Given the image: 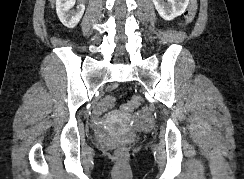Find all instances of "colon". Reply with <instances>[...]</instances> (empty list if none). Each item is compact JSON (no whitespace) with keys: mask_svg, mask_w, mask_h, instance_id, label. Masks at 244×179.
Here are the masks:
<instances>
[{"mask_svg":"<svg viewBox=\"0 0 244 179\" xmlns=\"http://www.w3.org/2000/svg\"><path fill=\"white\" fill-rule=\"evenodd\" d=\"M198 2L199 0H194L188 5L184 14V25L191 23L195 18L198 11ZM101 101H104L106 107L110 109L115 108V96H101ZM145 101L144 95H135L132 101H126L125 104H121L122 112H131V109H140V106H143ZM126 155H128L127 147H117L116 158H126Z\"/></svg>","mask_w":244,"mask_h":179,"instance_id":"1","label":"colon"}]
</instances>
